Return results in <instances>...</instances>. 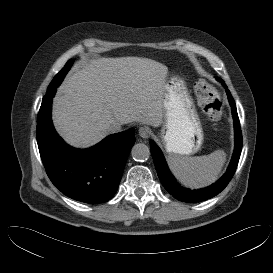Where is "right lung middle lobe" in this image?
Instances as JSON below:
<instances>
[{"instance_id":"right-lung-middle-lobe-1","label":"right lung middle lobe","mask_w":273,"mask_h":273,"mask_svg":"<svg viewBox=\"0 0 273 273\" xmlns=\"http://www.w3.org/2000/svg\"><path fill=\"white\" fill-rule=\"evenodd\" d=\"M73 64V60H69L65 66L61 69V71L53 78L52 82L50 83V85L47 88V92L46 93H50L52 91H54L63 81L65 75L67 74V72L69 71L70 67Z\"/></svg>"}]
</instances>
